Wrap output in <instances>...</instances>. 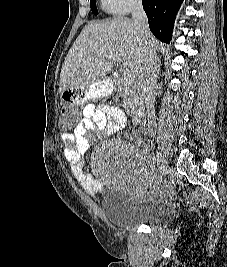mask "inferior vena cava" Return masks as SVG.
Listing matches in <instances>:
<instances>
[{"label":"inferior vena cava","instance_id":"1","mask_svg":"<svg viewBox=\"0 0 227 267\" xmlns=\"http://www.w3.org/2000/svg\"><path fill=\"white\" fill-rule=\"evenodd\" d=\"M132 20L145 48V59L138 78V86L148 112V131L152 135L156 132L154 103L156 94L158 59L155 49L149 43L151 32L149 30L148 19L143 10L141 0H134L133 2Z\"/></svg>","mask_w":227,"mask_h":267}]
</instances>
